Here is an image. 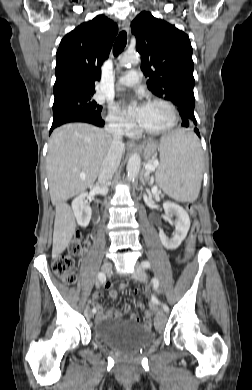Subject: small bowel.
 <instances>
[{"mask_svg":"<svg viewBox=\"0 0 252 390\" xmlns=\"http://www.w3.org/2000/svg\"><path fill=\"white\" fill-rule=\"evenodd\" d=\"M122 284H126L127 285L126 282H123ZM122 284L120 286V290L124 291L125 289L122 288ZM105 286L109 290L110 298L111 299H116L118 297L117 290L113 289L111 283H109V282H107L105 284ZM100 295L101 294L99 292H96L92 296V303H93L94 308L96 310V321H102V320H106V319H118V318H120L123 315V313H128L130 311V306L129 305H125L123 313H121V312H119L118 310H115V309L108 310L107 312L104 313L101 305L98 303V299H99ZM139 307H140V309H144V307L142 305H140ZM131 320L133 322L137 323V324H141L142 323L141 319L135 313H133L131 315Z\"/></svg>","mask_w":252,"mask_h":390,"instance_id":"1","label":"small bowel"}]
</instances>
